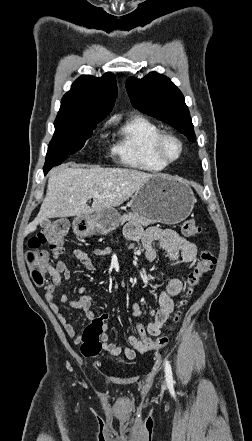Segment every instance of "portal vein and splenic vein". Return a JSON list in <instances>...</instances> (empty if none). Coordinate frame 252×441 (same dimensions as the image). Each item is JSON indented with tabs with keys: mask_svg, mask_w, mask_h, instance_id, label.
Returning <instances> with one entry per match:
<instances>
[{
	"mask_svg": "<svg viewBox=\"0 0 252 441\" xmlns=\"http://www.w3.org/2000/svg\"><path fill=\"white\" fill-rule=\"evenodd\" d=\"M95 198H103V196L96 194Z\"/></svg>",
	"mask_w": 252,
	"mask_h": 441,
	"instance_id": "18ae733b",
	"label": "portal vein and splenic vein"
}]
</instances>
